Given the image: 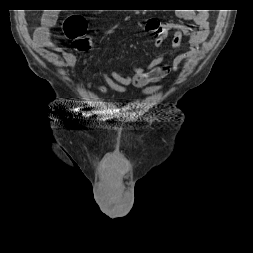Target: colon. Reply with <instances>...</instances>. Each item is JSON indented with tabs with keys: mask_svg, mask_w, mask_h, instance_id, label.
Masks as SVG:
<instances>
[{
	"mask_svg": "<svg viewBox=\"0 0 253 253\" xmlns=\"http://www.w3.org/2000/svg\"><path fill=\"white\" fill-rule=\"evenodd\" d=\"M86 28V19L79 15L70 16L64 22V33L73 41V46L78 51H85L90 47V40L85 34Z\"/></svg>",
	"mask_w": 253,
	"mask_h": 253,
	"instance_id": "1",
	"label": "colon"
}]
</instances>
